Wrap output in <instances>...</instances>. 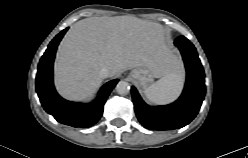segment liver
Wrapping results in <instances>:
<instances>
[{
  "instance_id": "liver-1",
  "label": "liver",
  "mask_w": 248,
  "mask_h": 158,
  "mask_svg": "<svg viewBox=\"0 0 248 158\" xmlns=\"http://www.w3.org/2000/svg\"><path fill=\"white\" fill-rule=\"evenodd\" d=\"M178 61L166 44L161 25L134 16L90 17L72 25L62 39L54 67L55 85L67 99H90L102 84L103 67L114 77L148 67L155 77Z\"/></svg>"
}]
</instances>
